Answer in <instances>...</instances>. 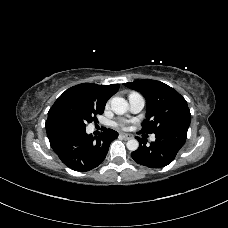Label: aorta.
<instances>
[{"instance_id": "aorta-1", "label": "aorta", "mask_w": 228, "mask_h": 228, "mask_svg": "<svg viewBox=\"0 0 228 228\" xmlns=\"http://www.w3.org/2000/svg\"><path fill=\"white\" fill-rule=\"evenodd\" d=\"M111 110L118 115H123L128 110V102L121 97H114L111 100ZM126 146L130 151H136L139 147V142L136 139L127 141Z\"/></svg>"}]
</instances>
